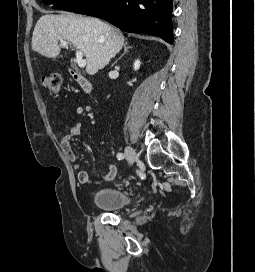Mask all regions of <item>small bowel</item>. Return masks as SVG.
I'll list each match as a JSON object with an SVG mask.
<instances>
[{
  "instance_id": "obj_1",
  "label": "small bowel",
  "mask_w": 255,
  "mask_h": 272,
  "mask_svg": "<svg viewBox=\"0 0 255 272\" xmlns=\"http://www.w3.org/2000/svg\"><path fill=\"white\" fill-rule=\"evenodd\" d=\"M82 131V123H75L69 127L68 132L60 140V148L62 152L77 169L81 167L82 162L78 155L72 149L71 139L75 136H79ZM106 171V174H104L103 176L98 178H92L87 171L81 170L78 173V180L81 184L100 186L112 181L115 178L117 174V167L114 164L106 165Z\"/></svg>"
}]
</instances>
